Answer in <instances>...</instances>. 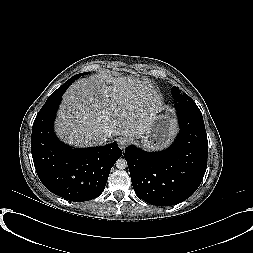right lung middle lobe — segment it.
I'll use <instances>...</instances> for the list:
<instances>
[{"label":"right lung middle lobe","mask_w":253,"mask_h":253,"mask_svg":"<svg viewBox=\"0 0 253 253\" xmlns=\"http://www.w3.org/2000/svg\"><path fill=\"white\" fill-rule=\"evenodd\" d=\"M85 73H80V74H76L75 76H73L72 78H70L68 81H66L65 83H69V82H74L77 78H79L80 76L84 75ZM64 83V84H65ZM55 96V91L49 96L48 99H51Z\"/></svg>","instance_id":"1"}]
</instances>
